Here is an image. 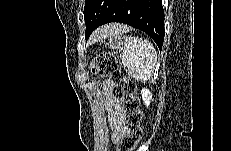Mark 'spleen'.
Masks as SVG:
<instances>
[{
    "instance_id": "1",
    "label": "spleen",
    "mask_w": 231,
    "mask_h": 151,
    "mask_svg": "<svg viewBox=\"0 0 231 151\" xmlns=\"http://www.w3.org/2000/svg\"><path fill=\"white\" fill-rule=\"evenodd\" d=\"M157 63V52L147 39L130 36L125 39L122 64L136 80L147 81L152 77Z\"/></svg>"
}]
</instances>
